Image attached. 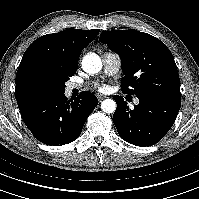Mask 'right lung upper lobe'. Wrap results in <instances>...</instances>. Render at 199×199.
Instances as JSON below:
<instances>
[{"mask_svg":"<svg viewBox=\"0 0 199 199\" xmlns=\"http://www.w3.org/2000/svg\"><path fill=\"white\" fill-rule=\"evenodd\" d=\"M99 31L68 29L36 39L22 57L16 74V90L24 73L30 69L37 68L52 75L68 78L74 75L82 50L94 40Z\"/></svg>","mask_w":199,"mask_h":199,"instance_id":"cb5924a9","label":"right lung upper lobe"}]
</instances>
